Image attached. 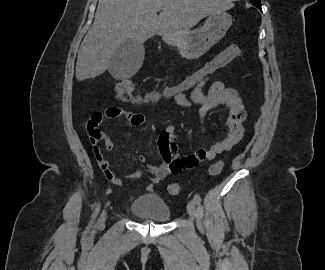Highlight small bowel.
<instances>
[{
  "mask_svg": "<svg viewBox=\"0 0 325 270\" xmlns=\"http://www.w3.org/2000/svg\"><path fill=\"white\" fill-rule=\"evenodd\" d=\"M207 81L208 79H205V82L202 83V86L198 87L197 90H191L189 96L186 93H182L181 96H175L174 101L182 108H189L192 103L197 104L201 107L203 115L216 107H225L228 110V118L226 121L227 132L225 137L208 150L200 149L194 154L178 158L177 154L179 147L175 134L176 129L173 125L167 126L158 137V148L162 158V163L160 165H147V169L152 174V177L150 183L145 187L146 191H152L154 187L171 172L178 173L185 169L195 167L200 161L213 160L218 154L232 149L242 137L245 111L238 92L233 88L227 87L220 80L212 82L208 92H205L203 87ZM139 96L147 95L142 94ZM132 104L143 105L150 103ZM104 117L109 119L125 117L126 123L131 127H140L145 123V117L143 114L128 112L116 106L108 107L104 113H93L89 121L96 122L99 127ZM204 131L205 129H203V132ZM112 148V141L105 139L103 150L110 151ZM94 152L97 163L106 176L114 185L121 186V181L114 177L109 168L108 161L103 156L102 150L97 146V144L94 146ZM138 160L141 163H144L146 157L144 155H139ZM139 177V172H134L129 175V178Z\"/></svg>",
  "mask_w": 325,
  "mask_h": 270,
  "instance_id": "obj_1",
  "label": "small bowel"
}]
</instances>
